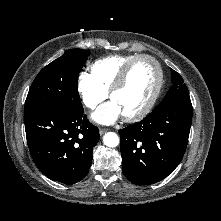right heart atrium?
Instances as JSON below:
<instances>
[{
    "instance_id": "right-heart-atrium-1",
    "label": "right heart atrium",
    "mask_w": 221,
    "mask_h": 221,
    "mask_svg": "<svg viewBox=\"0 0 221 221\" xmlns=\"http://www.w3.org/2000/svg\"><path fill=\"white\" fill-rule=\"evenodd\" d=\"M77 90L83 104L89 109L97 108L108 96L91 74L82 72L77 81Z\"/></svg>"
}]
</instances>
